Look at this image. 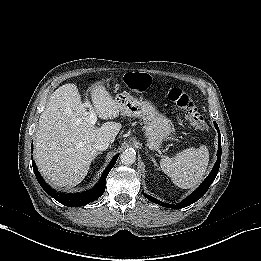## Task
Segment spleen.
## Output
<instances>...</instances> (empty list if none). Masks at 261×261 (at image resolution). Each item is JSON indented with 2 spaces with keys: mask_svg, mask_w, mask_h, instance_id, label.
Here are the masks:
<instances>
[{
  "mask_svg": "<svg viewBox=\"0 0 261 261\" xmlns=\"http://www.w3.org/2000/svg\"><path fill=\"white\" fill-rule=\"evenodd\" d=\"M209 162V152L205 145L190 147L178 152L174 157L164 156L160 161L162 171L180 188L189 189L203 179Z\"/></svg>",
  "mask_w": 261,
  "mask_h": 261,
  "instance_id": "3e777b00",
  "label": "spleen"
}]
</instances>
